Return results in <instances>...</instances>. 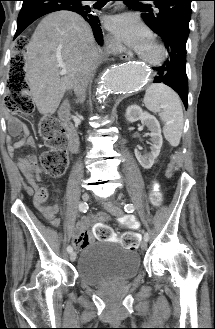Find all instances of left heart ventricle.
<instances>
[{"label": "left heart ventricle", "mask_w": 215, "mask_h": 329, "mask_svg": "<svg viewBox=\"0 0 215 329\" xmlns=\"http://www.w3.org/2000/svg\"><path fill=\"white\" fill-rule=\"evenodd\" d=\"M143 54L148 55V56H153V55L155 54V51H154V49L152 48V46H150L147 50H145V51L143 52Z\"/></svg>", "instance_id": "b2bd125f"}]
</instances>
